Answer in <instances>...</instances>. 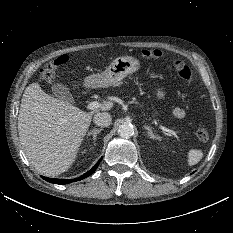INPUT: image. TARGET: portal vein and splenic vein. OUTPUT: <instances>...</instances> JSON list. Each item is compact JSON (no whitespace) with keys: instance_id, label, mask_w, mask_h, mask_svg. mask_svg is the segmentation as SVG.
<instances>
[{"instance_id":"18ae733b","label":"portal vein and splenic vein","mask_w":233,"mask_h":233,"mask_svg":"<svg viewBox=\"0 0 233 233\" xmlns=\"http://www.w3.org/2000/svg\"><path fill=\"white\" fill-rule=\"evenodd\" d=\"M102 107V104L97 102V101H93V102H90L88 105H87V108L89 110H97L98 108ZM161 129L164 131V132H168L170 135H173V136H176V132L173 131V130H170V129H167L163 126H161Z\"/></svg>"}]
</instances>
